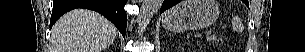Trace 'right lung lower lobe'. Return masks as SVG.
<instances>
[{"instance_id":"obj_1","label":"right lung lower lobe","mask_w":305,"mask_h":52,"mask_svg":"<svg viewBox=\"0 0 305 52\" xmlns=\"http://www.w3.org/2000/svg\"><path fill=\"white\" fill-rule=\"evenodd\" d=\"M127 0H54L50 28L66 12L75 8L91 9L110 20L125 37L127 15L124 6Z\"/></svg>"}]
</instances>
